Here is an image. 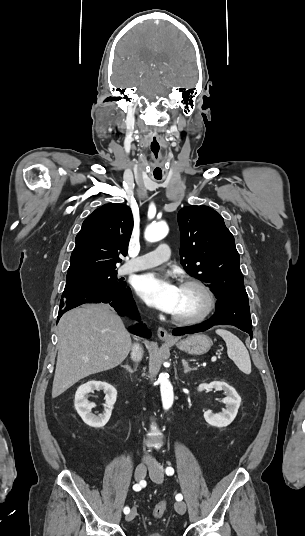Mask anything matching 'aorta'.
<instances>
[{
	"mask_svg": "<svg viewBox=\"0 0 305 536\" xmlns=\"http://www.w3.org/2000/svg\"><path fill=\"white\" fill-rule=\"evenodd\" d=\"M168 232L169 228L167 224L164 222H158L151 224L146 228L144 237L148 242H157L163 239ZM158 383L160 385L163 408L168 410L172 406L174 400L173 387L165 374L159 375Z\"/></svg>",
	"mask_w": 305,
	"mask_h": 536,
	"instance_id": "1",
	"label": "aorta"
}]
</instances>
